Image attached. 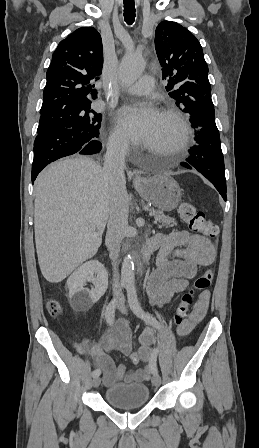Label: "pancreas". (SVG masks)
I'll list each match as a JSON object with an SVG mask.
<instances>
[{
    "mask_svg": "<svg viewBox=\"0 0 259 448\" xmlns=\"http://www.w3.org/2000/svg\"><path fill=\"white\" fill-rule=\"evenodd\" d=\"M149 216H154L155 222H159V228H173V226H177L175 218L164 216L160 210H150Z\"/></svg>",
    "mask_w": 259,
    "mask_h": 448,
    "instance_id": "obj_1",
    "label": "pancreas"
}]
</instances>
